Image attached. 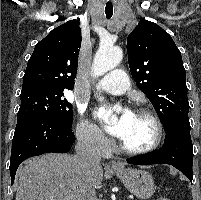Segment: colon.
I'll use <instances>...</instances> for the list:
<instances>
[{
    "mask_svg": "<svg viewBox=\"0 0 201 200\" xmlns=\"http://www.w3.org/2000/svg\"><path fill=\"white\" fill-rule=\"evenodd\" d=\"M159 200H170L168 197H162Z\"/></svg>",
    "mask_w": 201,
    "mask_h": 200,
    "instance_id": "1",
    "label": "colon"
}]
</instances>
